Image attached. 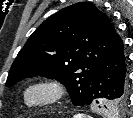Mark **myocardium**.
I'll return each instance as SVG.
<instances>
[{"label":"myocardium","mask_w":133,"mask_h":118,"mask_svg":"<svg viewBox=\"0 0 133 118\" xmlns=\"http://www.w3.org/2000/svg\"><path fill=\"white\" fill-rule=\"evenodd\" d=\"M39 92L40 96L33 99L31 94ZM67 88L64 82L54 76H38L30 79L21 90V99L29 109H42L53 106L66 96Z\"/></svg>","instance_id":"myocardium-1"}]
</instances>
